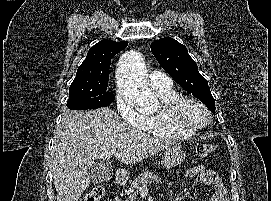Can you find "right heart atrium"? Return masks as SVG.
<instances>
[{"label":"right heart atrium","mask_w":271,"mask_h":201,"mask_svg":"<svg viewBox=\"0 0 271 201\" xmlns=\"http://www.w3.org/2000/svg\"><path fill=\"white\" fill-rule=\"evenodd\" d=\"M116 107L121 117L128 123L142 128L147 120V117L131 105V103L120 92L116 93Z\"/></svg>","instance_id":"right-heart-atrium-1"}]
</instances>
